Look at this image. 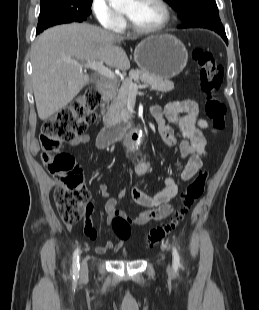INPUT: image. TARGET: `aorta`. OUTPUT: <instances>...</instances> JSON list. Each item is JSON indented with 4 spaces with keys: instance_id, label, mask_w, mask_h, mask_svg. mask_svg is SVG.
<instances>
[{
    "instance_id": "aorta-1",
    "label": "aorta",
    "mask_w": 259,
    "mask_h": 310,
    "mask_svg": "<svg viewBox=\"0 0 259 310\" xmlns=\"http://www.w3.org/2000/svg\"><path fill=\"white\" fill-rule=\"evenodd\" d=\"M110 5L115 9V10H120L124 6H126L131 0H108ZM140 143V138H138L136 141L131 140V146L136 147Z\"/></svg>"
}]
</instances>
